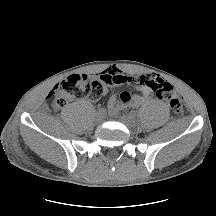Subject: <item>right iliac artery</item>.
<instances>
[{
  "label": "right iliac artery",
  "mask_w": 216,
  "mask_h": 216,
  "mask_svg": "<svg viewBox=\"0 0 216 216\" xmlns=\"http://www.w3.org/2000/svg\"><path fill=\"white\" fill-rule=\"evenodd\" d=\"M107 113L106 109L104 108H100L97 111V114L104 116Z\"/></svg>",
  "instance_id": "82829eb1"
}]
</instances>
